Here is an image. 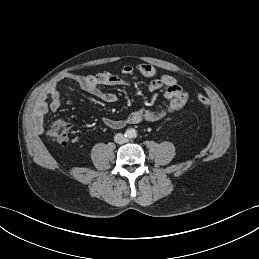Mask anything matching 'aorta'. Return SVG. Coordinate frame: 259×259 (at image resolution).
Instances as JSON below:
<instances>
[{
	"mask_svg": "<svg viewBox=\"0 0 259 259\" xmlns=\"http://www.w3.org/2000/svg\"><path fill=\"white\" fill-rule=\"evenodd\" d=\"M128 137L132 138L136 136V130L135 129H128L127 130Z\"/></svg>",
	"mask_w": 259,
	"mask_h": 259,
	"instance_id": "aorta-1",
	"label": "aorta"
}]
</instances>
